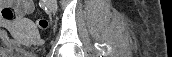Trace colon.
Returning a JSON list of instances; mask_svg holds the SVG:
<instances>
[{
	"mask_svg": "<svg viewBox=\"0 0 172 57\" xmlns=\"http://www.w3.org/2000/svg\"><path fill=\"white\" fill-rule=\"evenodd\" d=\"M0 15L4 21L10 22L14 19L15 12L12 8L5 6L0 9ZM36 24L40 29H46L48 26V22L44 18L37 19Z\"/></svg>",
	"mask_w": 172,
	"mask_h": 57,
	"instance_id": "5ec220e1",
	"label": "colon"
}]
</instances>
